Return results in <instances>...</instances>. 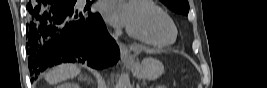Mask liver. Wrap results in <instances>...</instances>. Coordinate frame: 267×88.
<instances>
[{"mask_svg": "<svg viewBox=\"0 0 267 88\" xmlns=\"http://www.w3.org/2000/svg\"><path fill=\"white\" fill-rule=\"evenodd\" d=\"M80 72L76 65L62 64L55 67L45 76V79L50 84H57L70 78H74Z\"/></svg>", "mask_w": 267, "mask_h": 88, "instance_id": "6515ba94", "label": "liver"}]
</instances>
